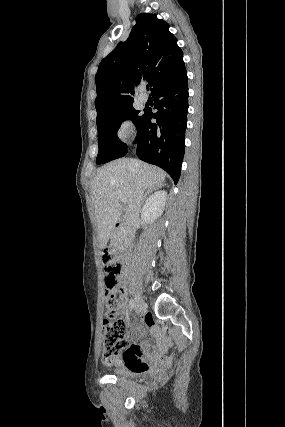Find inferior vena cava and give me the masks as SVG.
<instances>
[{
	"label": "inferior vena cava",
	"mask_w": 285,
	"mask_h": 427,
	"mask_svg": "<svg viewBox=\"0 0 285 427\" xmlns=\"http://www.w3.org/2000/svg\"><path fill=\"white\" fill-rule=\"evenodd\" d=\"M143 194H144V189L142 188L141 185H139L135 190L134 195L126 208V212H125L126 232L129 239H132L136 230V225L139 221L140 207L144 198Z\"/></svg>",
	"instance_id": "602c4592"
}]
</instances>
